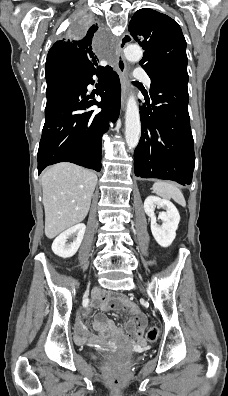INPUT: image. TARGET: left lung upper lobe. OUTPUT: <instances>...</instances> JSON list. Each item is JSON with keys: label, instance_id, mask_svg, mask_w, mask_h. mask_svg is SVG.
Masks as SVG:
<instances>
[{"label": "left lung upper lobe", "instance_id": "1", "mask_svg": "<svg viewBox=\"0 0 228 396\" xmlns=\"http://www.w3.org/2000/svg\"><path fill=\"white\" fill-rule=\"evenodd\" d=\"M129 31L145 50L139 64L151 79L167 78L187 86L186 41L176 21L143 8L133 15Z\"/></svg>", "mask_w": 228, "mask_h": 396}]
</instances>
